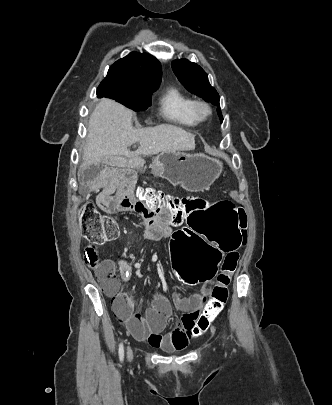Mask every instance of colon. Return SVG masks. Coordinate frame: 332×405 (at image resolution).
<instances>
[{"label": "colon", "instance_id": "5ec220e1", "mask_svg": "<svg viewBox=\"0 0 332 405\" xmlns=\"http://www.w3.org/2000/svg\"><path fill=\"white\" fill-rule=\"evenodd\" d=\"M135 197L142 203L140 212L160 215L170 209L173 212L171 222L186 221L185 226L171 234L167 243L169 275H174L181 287H206L207 281L217 275L211 298L198 318L197 329L190 331L192 338H199L228 299V287L238 262L235 253L241 249V227L246 223L244 213L236 202H228L226 197H218L216 202L207 205L203 198L154 191L151 184H138ZM79 223L90 242L84 251V260L95 267L98 264L96 244L113 238L117 233L116 224L90 202L80 206ZM218 268H221L219 273ZM103 288L113 298L114 309L119 315H131L134 299L123 291L122 283L113 271L103 274Z\"/></svg>", "mask_w": 332, "mask_h": 405}]
</instances>
